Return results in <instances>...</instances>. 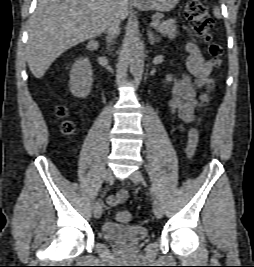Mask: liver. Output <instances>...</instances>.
Here are the masks:
<instances>
[{
	"mask_svg": "<svg viewBox=\"0 0 254 267\" xmlns=\"http://www.w3.org/2000/svg\"><path fill=\"white\" fill-rule=\"evenodd\" d=\"M128 0H38L29 19L27 62L37 79L66 50L102 34L113 16L125 20Z\"/></svg>",
	"mask_w": 254,
	"mask_h": 267,
	"instance_id": "1",
	"label": "liver"
}]
</instances>
